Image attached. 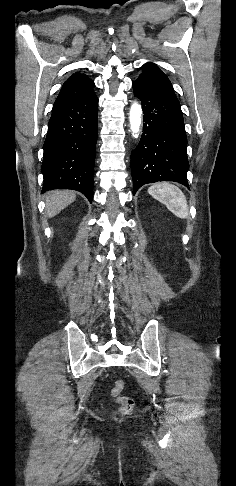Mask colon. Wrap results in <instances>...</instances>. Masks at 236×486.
<instances>
[{
  "instance_id": "colon-1",
  "label": "colon",
  "mask_w": 236,
  "mask_h": 486,
  "mask_svg": "<svg viewBox=\"0 0 236 486\" xmlns=\"http://www.w3.org/2000/svg\"><path fill=\"white\" fill-rule=\"evenodd\" d=\"M123 389L124 382L122 380H117L111 389V396L115 398L118 403L120 413L129 414L133 410L134 401L130 397L120 396Z\"/></svg>"
}]
</instances>
